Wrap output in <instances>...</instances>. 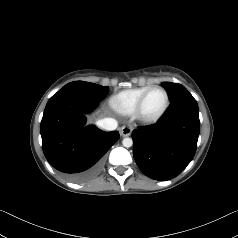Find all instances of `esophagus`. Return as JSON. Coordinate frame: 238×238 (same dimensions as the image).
<instances>
[{
    "instance_id": "esophagus-1",
    "label": "esophagus",
    "mask_w": 238,
    "mask_h": 238,
    "mask_svg": "<svg viewBox=\"0 0 238 238\" xmlns=\"http://www.w3.org/2000/svg\"><path fill=\"white\" fill-rule=\"evenodd\" d=\"M132 127L127 125V126H123L121 129H120V134L123 136V137H127V136H130L131 133H132Z\"/></svg>"
}]
</instances>
